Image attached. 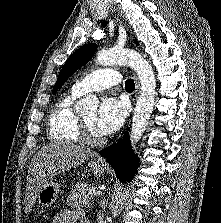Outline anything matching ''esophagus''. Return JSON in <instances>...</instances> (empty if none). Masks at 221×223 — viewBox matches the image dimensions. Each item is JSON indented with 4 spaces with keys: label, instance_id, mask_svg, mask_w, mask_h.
I'll list each match as a JSON object with an SVG mask.
<instances>
[{
    "label": "esophagus",
    "instance_id": "esophagus-1",
    "mask_svg": "<svg viewBox=\"0 0 221 223\" xmlns=\"http://www.w3.org/2000/svg\"><path fill=\"white\" fill-rule=\"evenodd\" d=\"M134 80H135V84H136V93H135V100L138 97L139 91H140V82L138 80L137 75H134Z\"/></svg>",
    "mask_w": 221,
    "mask_h": 223
}]
</instances>
